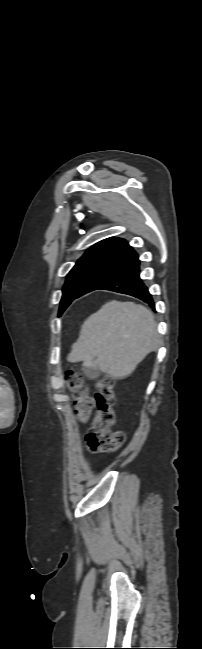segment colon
Instances as JSON below:
<instances>
[{"label": "colon", "instance_id": "colon-1", "mask_svg": "<svg viewBox=\"0 0 202 649\" xmlns=\"http://www.w3.org/2000/svg\"><path fill=\"white\" fill-rule=\"evenodd\" d=\"M66 379L75 401V415L84 423L89 418L94 406L97 410L86 434V443L93 452H112L118 449L125 440L124 434L120 431H113L116 424L115 384L109 377L102 378L97 384L95 398L88 394L80 374L74 371L66 373Z\"/></svg>", "mask_w": 202, "mask_h": 649}]
</instances>
